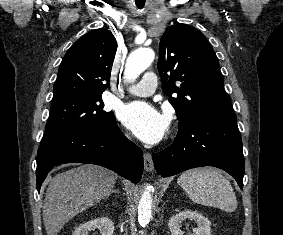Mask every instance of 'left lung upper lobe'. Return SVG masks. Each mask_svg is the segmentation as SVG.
<instances>
[{"mask_svg": "<svg viewBox=\"0 0 283 235\" xmlns=\"http://www.w3.org/2000/svg\"><path fill=\"white\" fill-rule=\"evenodd\" d=\"M158 71L163 92L176 111L179 129L235 116L217 56L198 29L182 23L167 28L159 44Z\"/></svg>", "mask_w": 283, "mask_h": 235, "instance_id": "5c2ea615", "label": "left lung upper lobe"}]
</instances>
